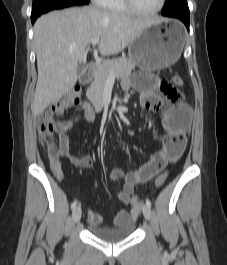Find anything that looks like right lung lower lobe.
I'll list each match as a JSON object with an SVG mask.
<instances>
[{"mask_svg": "<svg viewBox=\"0 0 227 265\" xmlns=\"http://www.w3.org/2000/svg\"><path fill=\"white\" fill-rule=\"evenodd\" d=\"M74 5H82V4H69V5H64V6L60 7V8H57V9L66 8V7H70V6H74ZM36 19H37V16L31 17L32 23H34Z\"/></svg>", "mask_w": 227, "mask_h": 265, "instance_id": "1", "label": "right lung lower lobe"}]
</instances>
